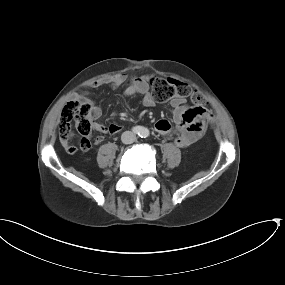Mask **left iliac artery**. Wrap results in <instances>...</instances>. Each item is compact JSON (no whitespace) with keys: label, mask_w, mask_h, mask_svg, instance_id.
Wrapping results in <instances>:
<instances>
[{"label":"left iliac artery","mask_w":285,"mask_h":285,"mask_svg":"<svg viewBox=\"0 0 285 285\" xmlns=\"http://www.w3.org/2000/svg\"><path fill=\"white\" fill-rule=\"evenodd\" d=\"M148 130H146V129H143V131H142V136L141 137H143V138H146V137H148Z\"/></svg>","instance_id":"obj_1"}]
</instances>
